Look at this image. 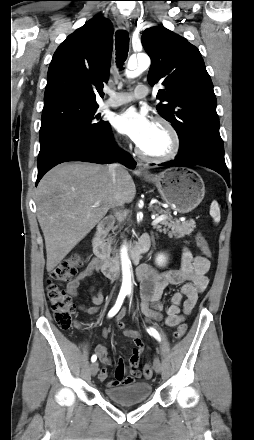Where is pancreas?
<instances>
[{
	"label": "pancreas",
	"mask_w": 254,
	"mask_h": 440,
	"mask_svg": "<svg viewBox=\"0 0 254 440\" xmlns=\"http://www.w3.org/2000/svg\"><path fill=\"white\" fill-rule=\"evenodd\" d=\"M155 210L158 212V214H169L168 211L159 209L158 207H155ZM162 226H164L163 229ZM195 227L196 224L193 220L180 222L178 220H173L171 217L160 222V225L155 226L158 231H163L164 233H168L170 237L174 236L176 238H183L186 235H190L194 231Z\"/></svg>",
	"instance_id": "obj_1"
}]
</instances>
